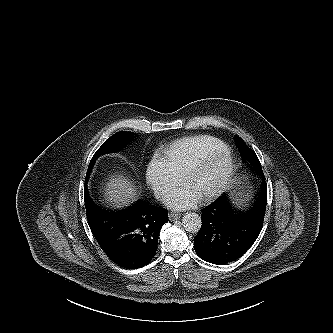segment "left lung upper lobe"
Instances as JSON below:
<instances>
[{
    "label": "left lung upper lobe",
    "instance_id": "obj_1",
    "mask_svg": "<svg viewBox=\"0 0 333 333\" xmlns=\"http://www.w3.org/2000/svg\"><path fill=\"white\" fill-rule=\"evenodd\" d=\"M235 144L241 154V157L244 161L250 163L252 169L259 175L262 176L263 171L260 164V161L253 150H251L239 136L235 137Z\"/></svg>",
    "mask_w": 333,
    "mask_h": 333
}]
</instances>
